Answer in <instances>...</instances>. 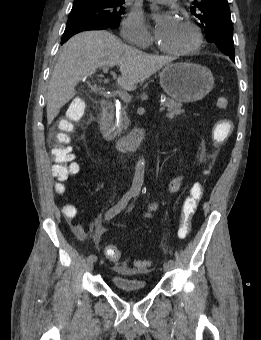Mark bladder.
Masks as SVG:
<instances>
[{
    "mask_svg": "<svg viewBox=\"0 0 261 340\" xmlns=\"http://www.w3.org/2000/svg\"><path fill=\"white\" fill-rule=\"evenodd\" d=\"M112 283L122 293L144 292L147 289L146 282L140 278L113 276Z\"/></svg>",
    "mask_w": 261,
    "mask_h": 340,
    "instance_id": "bladder-1",
    "label": "bladder"
}]
</instances>
